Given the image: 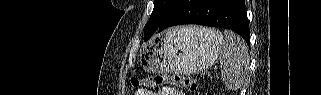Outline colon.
<instances>
[{
  "label": "colon",
  "mask_w": 321,
  "mask_h": 95,
  "mask_svg": "<svg viewBox=\"0 0 321 95\" xmlns=\"http://www.w3.org/2000/svg\"><path fill=\"white\" fill-rule=\"evenodd\" d=\"M130 83L135 87H149L155 88L162 84H171L180 88L188 89L192 92H196L199 90L198 82L190 77H186L183 75H155L150 76L148 78H139V77H131ZM207 95H213L212 92H207Z\"/></svg>",
  "instance_id": "colon-1"
}]
</instances>
